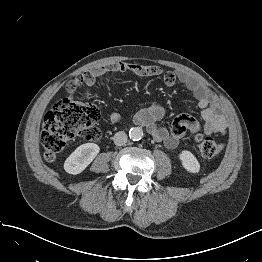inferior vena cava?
I'll list each match as a JSON object with an SVG mask.
<instances>
[{"label": "inferior vena cava", "mask_w": 262, "mask_h": 262, "mask_svg": "<svg viewBox=\"0 0 262 262\" xmlns=\"http://www.w3.org/2000/svg\"><path fill=\"white\" fill-rule=\"evenodd\" d=\"M127 134L123 131H119L117 132L114 137H113V141L115 143V145L117 146H123L126 144L127 142Z\"/></svg>", "instance_id": "1"}]
</instances>
